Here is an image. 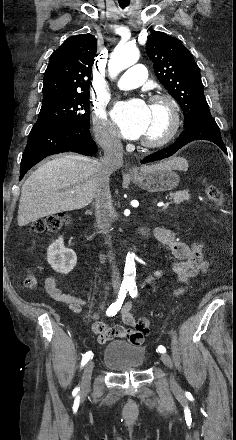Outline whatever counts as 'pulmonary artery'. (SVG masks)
I'll return each instance as SVG.
<instances>
[{"label": "pulmonary artery", "instance_id": "pulmonary-artery-1", "mask_svg": "<svg viewBox=\"0 0 236 440\" xmlns=\"http://www.w3.org/2000/svg\"><path fill=\"white\" fill-rule=\"evenodd\" d=\"M146 76L147 71L144 65H133L122 74L117 86L122 91L135 89L144 83Z\"/></svg>", "mask_w": 236, "mask_h": 440}]
</instances>
